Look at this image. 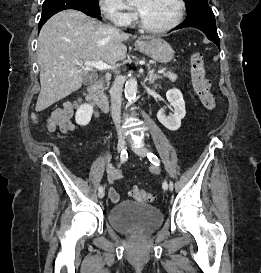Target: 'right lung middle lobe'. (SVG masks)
<instances>
[{
	"instance_id": "right-lung-middle-lobe-1",
	"label": "right lung middle lobe",
	"mask_w": 261,
	"mask_h": 273,
	"mask_svg": "<svg viewBox=\"0 0 261 273\" xmlns=\"http://www.w3.org/2000/svg\"><path fill=\"white\" fill-rule=\"evenodd\" d=\"M71 0H45L43 3L42 15H51L69 8ZM85 4L99 12V0H83Z\"/></svg>"
}]
</instances>
